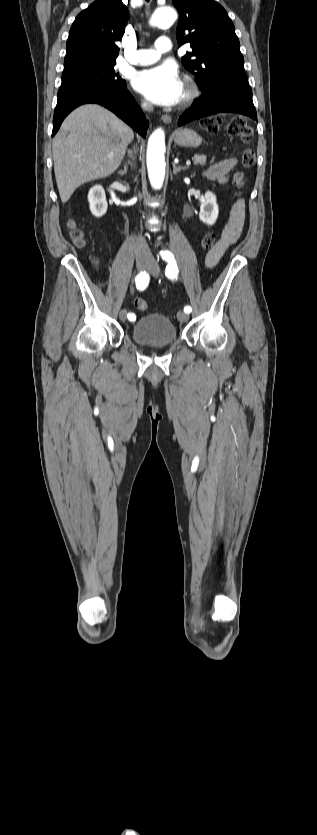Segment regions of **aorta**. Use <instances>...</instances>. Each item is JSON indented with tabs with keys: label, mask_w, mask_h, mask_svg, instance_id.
<instances>
[{
	"label": "aorta",
	"mask_w": 317,
	"mask_h": 835,
	"mask_svg": "<svg viewBox=\"0 0 317 835\" xmlns=\"http://www.w3.org/2000/svg\"><path fill=\"white\" fill-rule=\"evenodd\" d=\"M177 19L176 11L170 6L157 8L151 17V25H171ZM165 134L161 128L156 129L148 140L147 170L153 188L160 189L165 178Z\"/></svg>",
	"instance_id": "762f6f07"
}]
</instances>
